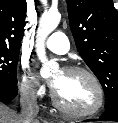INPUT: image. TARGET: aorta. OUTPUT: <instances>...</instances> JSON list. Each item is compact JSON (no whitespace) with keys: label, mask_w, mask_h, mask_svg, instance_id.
Returning a JSON list of instances; mask_svg holds the SVG:
<instances>
[{"label":"aorta","mask_w":118,"mask_h":123,"mask_svg":"<svg viewBox=\"0 0 118 123\" xmlns=\"http://www.w3.org/2000/svg\"><path fill=\"white\" fill-rule=\"evenodd\" d=\"M61 19V14L58 11H51L42 16L39 22L36 35V53L39 60L42 62L40 74L42 77L50 75L52 68L56 66L54 61H49L46 57L45 40L47 36L55 30Z\"/></svg>","instance_id":"aorta-1"}]
</instances>
